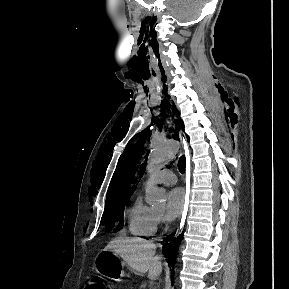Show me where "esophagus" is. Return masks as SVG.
Wrapping results in <instances>:
<instances>
[{"label":"esophagus","mask_w":289,"mask_h":289,"mask_svg":"<svg viewBox=\"0 0 289 289\" xmlns=\"http://www.w3.org/2000/svg\"><path fill=\"white\" fill-rule=\"evenodd\" d=\"M178 137L180 139V142L182 144L183 147V151L185 153V157H186V173H185V177H186V187L190 186V182L189 179H187L188 175H189V171H190V157H189V151H188V147H186V141L184 140L182 134L179 132L178 133ZM185 221V215L183 213V215L181 216V220H180V228H182L183 224Z\"/></svg>","instance_id":"34e87169"}]
</instances>
